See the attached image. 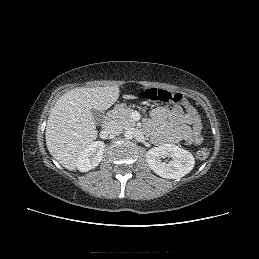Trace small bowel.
Here are the masks:
<instances>
[{
  "label": "small bowel",
  "instance_id": "c3829d8e",
  "mask_svg": "<svg viewBox=\"0 0 259 259\" xmlns=\"http://www.w3.org/2000/svg\"><path fill=\"white\" fill-rule=\"evenodd\" d=\"M148 126L152 129L156 142L195 143L193 125L190 122L188 110L184 111L180 106L153 109Z\"/></svg>",
  "mask_w": 259,
  "mask_h": 259
}]
</instances>
